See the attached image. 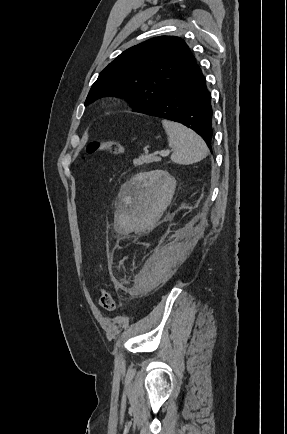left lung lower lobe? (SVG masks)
Instances as JSON below:
<instances>
[{
  "label": "left lung lower lobe",
  "mask_w": 287,
  "mask_h": 434,
  "mask_svg": "<svg viewBox=\"0 0 287 434\" xmlns=\"http://www.w3.org/2000/svg\"><path fill=\"white\" fill-rule=\"evenodd\" d=\"M210 99L205 79L196 64L155 105L139 113L182 123L198 133L211 149L213 129Z\"/></svg>",
  "instance_id": "1"
}]
</instances>
